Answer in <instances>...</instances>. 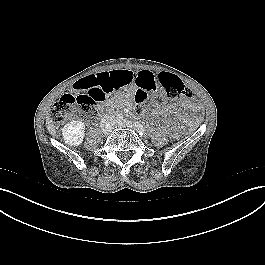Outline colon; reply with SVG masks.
<instances>
[{
  "label": "colon",
  "mask_w": 265,
  "mask_h": 265,
  "mask_svg": "<svg viewBox=\"0 0 265 265\" xmlns=\"http://www.w3.org/2000/svg\"><path fill=\"white\" fill-rule=\"evenodd\" d=\"M159 83L163 92L150 94L148 89H140L135 93L137 103L136 113H144L148 104L162 106L166 98L172 100L183 99V108L190 113L199 109V100L192 96L179 77L163 72L159 76ZM116 84L104 76H88L76 81L73 91L64 94L51 108L49 118L53 124H60L74 114L83 117L93 116L97 106L103 102L108 93L118 90Z\"/></svg>",
  "instance_id": "5ec220e1"
}]
</instances>
